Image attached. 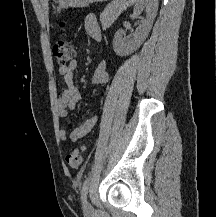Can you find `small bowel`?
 Segmentation results:
<instances>
[{"label": "small bowel", "mask_w": 216, "mask_h": 217, "mask_svg": "<svg viewBox=\"0 0 216 217\" xmlns=\"http://www.w3.org/2000/svg\"><path fill=\"white\" fill-rule=\"evenodd\" d=\"M88 35L96 40L102 39L100 27L93 15H88L84 22ZM77 68V61L72 60L69 64L59 67V73L62 75L66 87L56 101L57 114L60 117L68 115L69 110L73 109L81 99V93L74 85V72ZM109 81V73L107 71V61L103 60L91 78L94 86H104ZM97 116L89 117L82 125L73 129L67 134L64 128H59V138L62 141L70 140L76 142L90 133L97 123Z\"/></svg>", "instance_id": "c3829d8e"}]
</instances>
